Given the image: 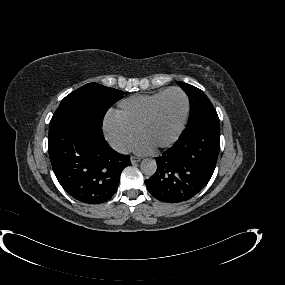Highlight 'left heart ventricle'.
I'll use <instances>...</instances> for the list:
<instances>
[{
	"label": "left heart ventricle",
	"instance_id": "left-heart-ventricle-1",
	"mask_svg": "<svg viewBox=\"0 0 285 285\" xmlns=\"http://www.w3.org/2000/svg\"><path fill=\"white\" fill-rule=\"evenodd\" d=\"M185 113V100L179 92L167 94L152 121L141 133L153 147L169 142L176 134Z\"/></svg>",
	"mask_w": 285,
	"mask_h": 285
}]
</instances>
